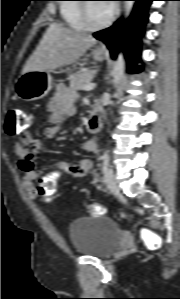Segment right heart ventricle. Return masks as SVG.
<instances>
[{
	"mask_svg": "<svg viewBox=\"0 0 180 299\" xmlns=\"http://www.w3.org/2000/svg\"><path fill=\"white\" fill-rule=\"evenodd\" d=\"M60 7L61 16L64 22L72 29L85 30L81 20L80 4L75 3L79 0H64Z\"/></svg>",
	"mask_w": 180,
	"mask_h": 299,
	"instance_id": "e07e8e85",
	"label": "right heart ventricle"
}]
</instances>
